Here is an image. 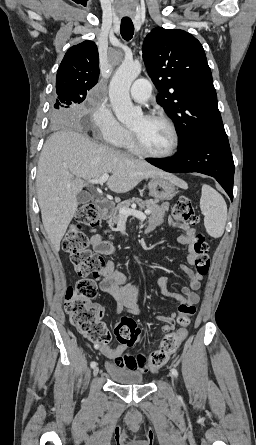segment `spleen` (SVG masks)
Listing matches in <instances>:
<instances>
[{
  "instance_id": "obj_1",
  "label": "spleen",
  "mask_w": 256,
  "mask_h": 445,
  "mask_svg": "<svg viewBox=\"0 0 256 445\" xmlns=\"http://www.w3.org/2000/svg\"><path fill=\"white\" fill-rule=\"evenodd\" d=\"M200 209L207 233L214 238L221 237L227 220V205L221 194L207 184L202 186Z\"/></svg>"
}]
</instances>
